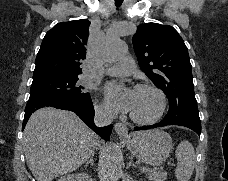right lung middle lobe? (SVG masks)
Segmentation results:
<instances>
[{"label": "right lung middle lobe", "instance_id": "right-lung-middle-lobe-1", "mask_svg": "<svg viewBox=\"0 0 228 181\" xmlns=\"http://www.w3.org/2000/svg\"><path fill=\"white\" fill-rule=\"evenodd\" d=\"M78 75H50L33 78L29 99L57 98L76 103H90L89 93L77 84Z\"/></svg>", "mask_w": 228, "mask_h": 181}]
</instances>
